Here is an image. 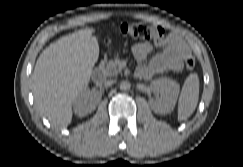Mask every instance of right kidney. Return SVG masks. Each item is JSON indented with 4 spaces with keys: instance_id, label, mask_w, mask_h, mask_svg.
Returning <instances> with one entry per match:
<instances>
[{
    "instance_id": "obj_1",
    "label": "right kidney",
    "mask_w": 243,
    "mask_h": 167,
    "mask_svg": "<svg viewBox=\"0 0 243 167\" xmlns=\"http://www.w3.org/2000/svg\"><path fill=\"white\" fill-rule=\"evenodd\" d=\"M100 100L101 95L97 91H90L85 87L73 102L74 112L78 116L83 117L91 113Z\"/></svg>"
}]
</instances>
